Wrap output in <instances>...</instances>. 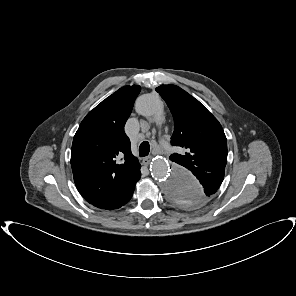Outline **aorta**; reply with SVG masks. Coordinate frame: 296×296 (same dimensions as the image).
Listing matches in <instances>:
<instances>
[{
  "label": "aorta",
  "instance_id": "1",
  "mask_svg": "<svg viewBox=\"0 0 296 296\" xmlns=\"http://www.w3.org/2000/svg\"><path fill=\"white\" fill-rule=\"evenodd\" d=\"M135 108L139 114L156 123L165 121L163 102L156 95H141L136 100ZM150 168L168 202L187 211L194 210L202 204L204 189L187 168L163 158H155Z\"/></svg>",
  "mask_w": 296,
  "mask_h": 296
}]
</instances>
